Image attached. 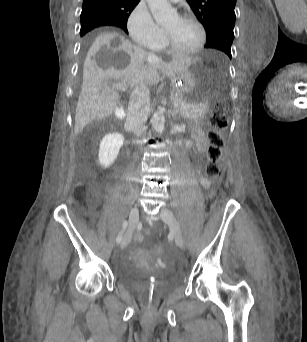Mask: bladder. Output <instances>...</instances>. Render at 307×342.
I'll return each instance as SVG.
<instances>
[{"label":"bladder","instance_id":"obj_1","mask_svg":"<svg viewBox=\"0 0 307 342\" xmlns=\"http://www.w3.org/2000/svg\"><path fill=\"white\" fill-rule=\"evenodd\" d=\"M123 285L133 292L160 298L174 289L180 281L179 276L171 274L162 279L153 280L152 273L133 263H125L119 273Z\"/></svg>","mask_w":307,"mask_h":342}]
</instances>
